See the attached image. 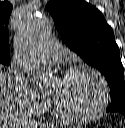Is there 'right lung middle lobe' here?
I'll return each mask as SVG.
<instances>
[{"mask_svg": "<svg viewBox=\"0 0 125 128\" xmlns=\"http://www.w3.org/2000/svg\"><path fill=\"white\" fill-rule=\"evenodd\" d=\"M10 64L9 58H0V65L8 66Z\"/></svg>", "mask_w": 125, "mask_h": 128, "instance_id": "right-lung-middle-lobe-1", "label": "right lung middle lobe"}]
</instances>
